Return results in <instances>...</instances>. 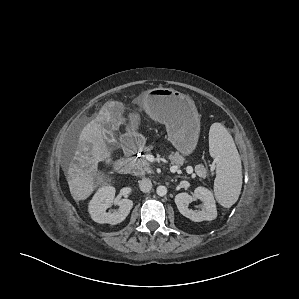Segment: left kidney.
Returning a JSON list of instances; mask_svg holds the SVG:
<instances>
[{
  "instance_id": "1",
  "label": "left kidney",
  "mask_w": 299,
  "mask_h": 299,
  "mask_svg": "<svg viewBox=\"0 0 299 299\" xmlns=\"http://www.w3.org/2000/svg\"><path fill=\"white\" fill-rule=\"evenodd\" d=\"M199 199L203 202V208L199 211H193L189 208V204ZM175 203L179 212L194 222L211 221L217 217V209L214 196L210 190L204 187H197L193 196L188 193H179L175 196Z\"/></svg>"
}]
</instances>
